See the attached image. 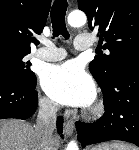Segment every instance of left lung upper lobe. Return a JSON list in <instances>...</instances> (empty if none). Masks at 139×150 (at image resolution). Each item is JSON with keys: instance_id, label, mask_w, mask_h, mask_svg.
<instances>
[{"instance_id": "obj_1", "label": "left lung upper lobe", "mask_w": 139, "mask_h": 150, "mask_svg": "<svg viewBox=\"0 0 139 150\" xmlns=\"http://www.w3.org/2000/svg\"><path fill=\"white\" fill-rule=\"evenodd\" d=\"M97 32L101 48L110 54L95 56L89 69L102 90L112 83L119 69L139 56V0H78Z\"/></svg>"}]
</instances>
